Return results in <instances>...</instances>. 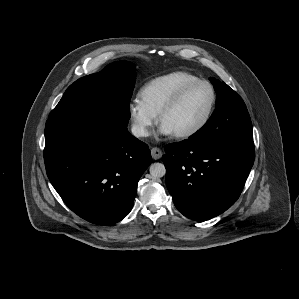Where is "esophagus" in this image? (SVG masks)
I'll list each match as a JSON object with an SVG mask.
<instances>
[{"label": "esophagus", "mask_w": 299, "mask_h": 299, "mask_svg": "<svg viewBox=\"0 0 299 299\" xmlns=\"http://www.w3.org/2000/svg\"><path fill=\"white\" fill-rule=\"evenodd\" d=\"M151 155L153 159L158 160L162 157V151L161 149L154 147L151 149Z\"/></svg>", "instance_id": "1"}]
</instances>
